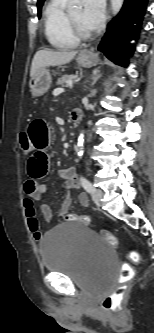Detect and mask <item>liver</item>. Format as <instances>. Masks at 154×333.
I'll return each mask as SVG.
<instances>
[{
  "label": "liver",
  "instance_id": "liver-1",
  "mask_svg": "<svg viewBox=\"0 0 154 333\" xmlns=\"http://www.w3.org/2000/svg\"><path fill=\"white\" fill-rule=\"evenodd\" d=\"M77 53V51L68 50H39L34 55L30 70V76L33 77L36 71L40 68L67 64L76 56Z\"/></svg>",
  "mask_w": 154,
  "mask_h": 333
}]
</instances>
